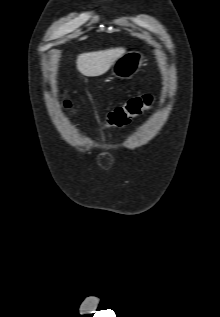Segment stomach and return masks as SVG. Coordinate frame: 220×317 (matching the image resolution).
<instances>
[{"instance_id": "0dacf381", "label": "stomach", "mask_w": 220, "mask_h": 317, "mask_svg": "<svg viewBox=\"0 0 220 317\" xmlns=\"http://www.w3.org/2000/svg\"><path fill=\"white\" fill-rule=\"evenodd\" d=\"M143 65V54L134 50L124 53L112 66V75L120 79H131Z\"/></svg>"}]
</instances>
